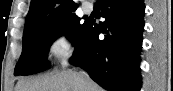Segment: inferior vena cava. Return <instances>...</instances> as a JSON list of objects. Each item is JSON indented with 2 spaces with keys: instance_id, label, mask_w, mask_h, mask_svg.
Instances as JSON below:
<instances>
[{
  "instance_id": "1",
  "label": "inferior vena cava",
  "mask_w": 173,
  "mask_h": 91,
  "mask_svg": "<svg viewBox=\"0 0 173 91\" xmlns=\"http://www.w3.org/2000/svg\"><path fill=\"white\" fill-rule=\"evenodd\" d=\"M83 76H86L87 74L85 72H81Z\"/></svg>"
}]
</instances>
